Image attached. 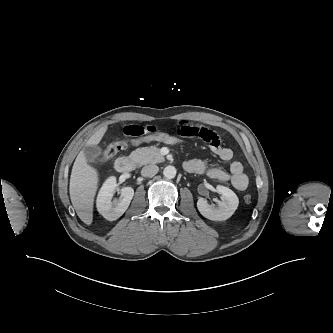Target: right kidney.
Masks as SVG:
<instances>
[{
  "instance_id": "1",
  "label": "right kidney",
  "mask_w": 333,
  "mask_h": 333,
  "mask_svg": "<svg viewBox=\"0 0 333 333\" xmlns=\"http://www.w3.org/2000/svg\"><path fill=\"white\" fill-rule=\"evenodd\" d=\"M118 188L115 177H110L103 184L98 197L97 209L102 216L113 221L118 219L129 207V204L134 196V190L131 187H123L120 189L119 199L112 201L114 191Z\"/></svg>"
}]
</instances>
